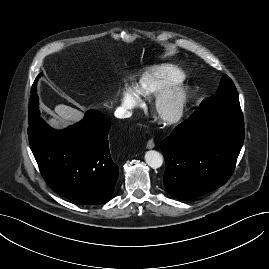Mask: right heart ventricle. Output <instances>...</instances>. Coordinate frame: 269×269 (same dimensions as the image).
Here are the masks:
<instances>
[{"label": "right heart ventricle", "instance_id": "obj_1", "mask_svg": "<svg viewBox=\"0 0 269 269\" xmlns=\"http://www.w3.org/2000/svg\"><path fill=\"white\" fill-rule=\"evenodd\" d=\"M183 80V73L176 68L168 65L153 67L143 75L136 92L145 97L156 95L180 84Z\"/></svg>", "mask_w": 269, "mask_h": 269}]
</instances>
